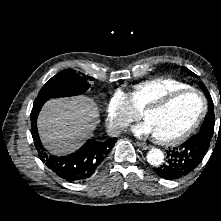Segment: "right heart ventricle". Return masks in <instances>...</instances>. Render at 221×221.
<instances>
[{
    "mask_svg": "<svg viewBox=\"0 0 221 221\" xmlns=\"http://www.w3.org/2000/svg\"><path fill=\"white\" fill-rule=\"evenodd\" d=\"M188 87H190L188 84L177 79L159 77L132 86L125 95L132 109L140 112L144 107L163 95Z\"/></svg>",
    "mask_w": 221,
    "mask_h": 221,
    "instance_id": "e07e8e85",
    "label": "right heart ventricle"
}]
</instances>
